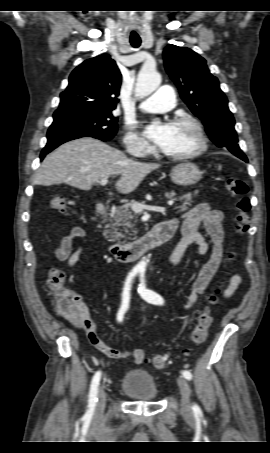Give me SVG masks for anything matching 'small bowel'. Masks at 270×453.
Returning a JSON list of instances; mask_svg holds the SVG:
<instances>
[{
  "label": "small bowel",
  "instance_id": "c3829d8e",
  "mask_svg": "<svg viewBox=\"0 0 270 453\" xmlns=\"http://www.w3.org/2000/svg\"><path fill=\"white\" fill-rule=\"evenodd\" d=\"M224 214L221 210L212 209L207 203H200L186 212L180 218L169 219L175 228L180 227L182 238L175 247L171 258L170 267L179 264L184 257L187 249L191 245H196L198 254L205 256L208 253L209 245L203 235L199 232V227L203 225L212 242V251L209 260L202 266L196 276L191 292L186 296L185 309L190 310L198 301L201 295L207 293L216 283V278L223 259V229ZM88 237L87 231L81 226H74L65 235L55 250V257L61 262H65L68 267H73L80 260L84 248H73L76 239ZM241 275L235 273L231 275L229 284L224 291L226 298L230 297L241 284ZM79 300V315L77 317H66L74 327L87 333L91 344L102 354L113 359H130L134 364H141L145 359V353L141 349L121 350L108 346L98 335L96 323L90 316L88 306L83 302L80 295L75 294Z\"/></svg>",
  "mask_w": 270,
  "mask_h": 453
}]
</instances>
